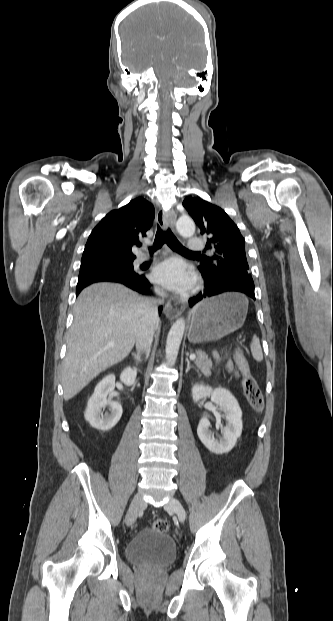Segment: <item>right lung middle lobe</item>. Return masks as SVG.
<instances>
[{"label":"right lung middle lobe","instance_id":"right-lung-middle-lobe-1","mask_svg":"<svg viewBox=\"0 0 333 621\" xmlns=\"http://www.w3.org/2000/svg\"><path fill=\"white\" fill-rule=\"evenodd\" d=\"M134 257H102L84 258L81 260L80 270L94 268H113L122 271L133 270Z\"/></svg>","mask_w":333,"mask_h":621}]
</instances>
